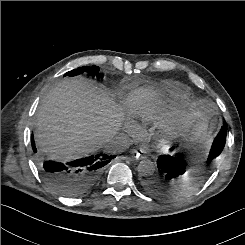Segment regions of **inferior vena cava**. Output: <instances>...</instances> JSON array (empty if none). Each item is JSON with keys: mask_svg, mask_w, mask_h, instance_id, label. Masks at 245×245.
I'll return each mask as SVG.
<instances>
[{"mask_svg": "<svg viewBox=\"0 0 245 245\" xmlns=\"http://www.w3.org/2000/svg\"><path fill=\"white\" fill-rule=\"evenodd\" d=\"M131 139L126 135H120L109 141L107 149L113 152H123L131 145Z\"/></svg>", "mask_w": 245, "mask_h": 245, "instance_id": "602c4592", "label": "inferior vena cava"}]
</instances>
